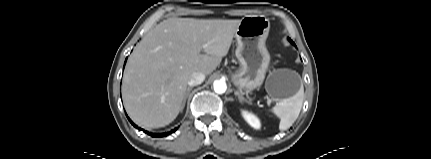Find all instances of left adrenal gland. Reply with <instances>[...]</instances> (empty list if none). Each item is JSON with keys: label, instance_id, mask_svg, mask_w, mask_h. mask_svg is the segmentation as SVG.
I'll return each mask as SVG.
<instances>
[{"label": "left adrenal gland", "instance_id": "a2214340", "mask_svg": "<svg viewBox=\"0 0 431 159\" xmlns=\"http://www.w3.org/2000/svg\"><path fill=\"white\" fill-rule=\"evenodd\" d=\"M237 95H238V99H239V101H240L241 103H242V102L249 103V101H247V100L242 96V94L238 93Z\"/></svg>", "mask_w": 431, "mask_h": 159}]
</instances>
